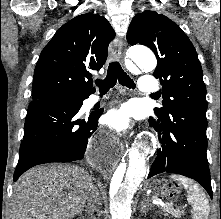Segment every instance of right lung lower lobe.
<instances>
[{
    "label": "right lung lower lobe",
    "instance_id": "98d812e1",
    "mask_svg": "<svg viewBox=\"0 0 221 219\" xmlns=\"http://www.w3.org/2000/svg\"><path fill=\"white\" fill-rule=\"evenodd\" d=\"M90 94L30 102L14 181L38 164L78 161L86 151L96 160L100 157L105 148L92 134L103 110L78 116Z\"/></svg>",
    "mask_w": 221,
    "mask_h": 219
}]
</instances>
